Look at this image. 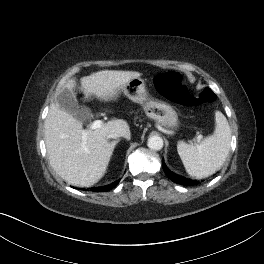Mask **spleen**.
Instances as JSON below:
<instances>
[{"mask_svg":"<svg viewBox=\"0 0 264 264\" xmlns=\"http://www.w3.org/2000/svg\"><path fill=\"white\" fill-rule=\"evenodd\" d=\"M215 131L199 144L177 143V151L187 173L196 178H205L218 171L224 164L231 143V129L226 117L215 112Z\"/></svg>","mask_w":264,"mask_h":264,"instance_id":"obj_1","label":"spleen"}]
</instances>
